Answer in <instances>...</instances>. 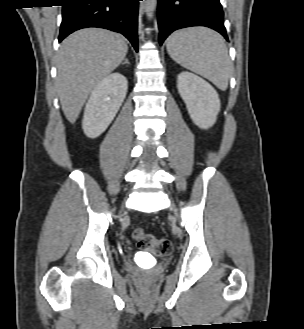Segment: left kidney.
Instances as JSON below:
<instances>
[{
	"label": "left kidney",
	"mask_w": 304,
	"mask_h": 329,
	"mask_svg": "<svg viewBox=\"0 0 304 329\" xmlns=\"http://www.w3.org/2000/svg\"><path fill=\"white\" fill-rule=\"evenodd\" d=\"M177 88L193 123L201 129L212 127L221 106L216 90L201 77L186 71L178 75Z\"/></svg>",
	"instance_id": "left-kidney-1"
}]
</instances>
